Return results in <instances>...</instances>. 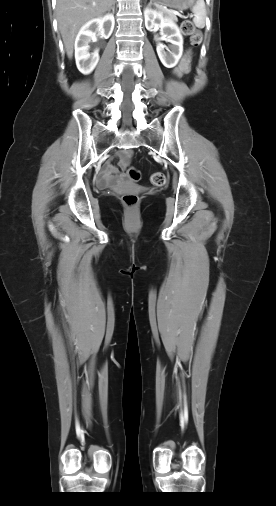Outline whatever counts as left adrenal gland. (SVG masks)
I'll return each instance as SVG.
<instances>
[{
  "label": "left adrenal gland",
  "mask_w": 276,
  "mask_h": 506,
  "mask_svg": "<svg viewBox=\"0 0 276 506\" xmlns=\"http://www.w3.org/2000/svg\"><path fill=\"white\" fill-rule=\"evenodd\" d=\"M152 2L149 3V6H151Z\"/></svg>",
  "instance_id": "obj_1"
}]
</instances>
